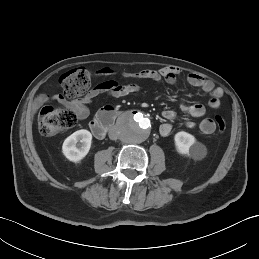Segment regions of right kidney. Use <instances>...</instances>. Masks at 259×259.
I'll return each instance as SVG.
<instances>
[{
  "instance_id": "obj_1",
  "label": "right kidney",
  "mask_w": 259,
  "mask_h": 259,
  "mask_svg": "<svg viewBox=\"0 0 259 259\" xmlns=\"http://www.w3.org/2000/svg\"><path fill=\"white\" fill-rule=\"evenodd\" d=\"M91 141L92 134L88 130H78L65 139L62 152L68 160L78 163L88 154Z\"/></svg>"
}]
</instances>
